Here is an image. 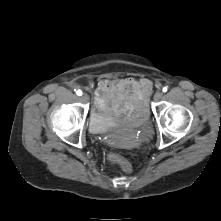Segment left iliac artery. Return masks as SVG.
<instances>
[{
	"instance_id": "obj_1",
	"label": "left iliac artery",
	"mask_w": 221,
	"mask_h": 221,
	"mask_svg": "<svg viewBox=\"0 0 221 221\" xmlns=\"http://www.w3.org/2000/svg\"><path fill=\"white\" fill-rule=\"evenodd\" d=\"M168 88L167 87H164L163 88V92H167Z\"/></svg>"
}]
</instances>
